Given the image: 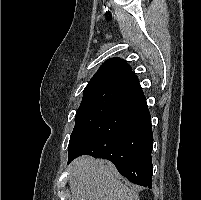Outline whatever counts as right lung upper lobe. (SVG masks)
I'll return each mask as SVG.
<instances>
[{"instance_id":"obj_1","label":"right lung upper lobe","mask_w":201,"mask_h":200,"mask_svg":"<svg viewBox=\"0 0 201 200\" xmlns=\"http://www.w3.org/2000/svg\"><path fill=\"white\" fill-rule=\"evenodd\" d=\"M112 92L130 100L143 94L138 77L132 68L121 58H111L104 62L88 82L83 93Z\"/></svg>"}]
</instances>
